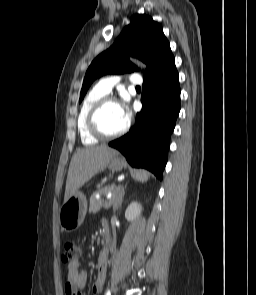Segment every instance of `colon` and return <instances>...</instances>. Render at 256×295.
Listing matches in <instances>:
<instances>
[{
    "instance_id": "5ec220e1",
    "label": "colon",
    "mask_w": 256,
    "mask_h": 295,
    "mask_svg": "<svg viewBox=\"0 0 256 295\" xmlns=\"http://www.w3.org/2000/svg\"><path fill=\"white\" fill-rule=\"evenodd\" d=\"M80 247L73 239H67L63 243L62 261L63 263H71L78 258Z\"/></svg>"
}]
</instances>
